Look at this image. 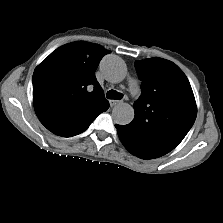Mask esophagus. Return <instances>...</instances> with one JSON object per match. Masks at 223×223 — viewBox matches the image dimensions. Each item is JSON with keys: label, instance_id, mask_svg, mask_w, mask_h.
<instances>
[{"label": "esophagus", "instance_id": "1", "mask_svg": "<svg viewBox=\"0 0 223 223\" xmlns=\"http://www.w3.org/2000/svg\"><path fill=\"white\" fill-rule=\"evenodd\" d=\"M121 101H118V100H110V106L113 107V106H116L118 104H120Z\"/></svg>", "mask_w": 223, "mask_h": 223}]
</instances>
